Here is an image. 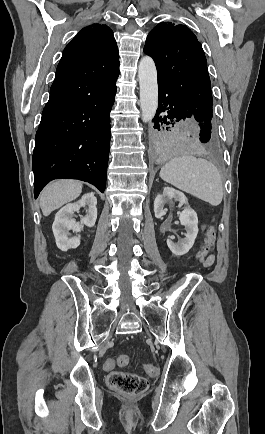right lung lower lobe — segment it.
I'll use <instances>...</instances> for the list:
<instances>
[{"label": "right lung lower lobe", "instance_id": "98d812e1", "mask_svg": "<svg viewBox=\"0 0 265 434\" xmlns=\"http://www.w3.org/2000/svg\"><path fill=\"white\" fill-rule=\"evenodd\" d=\"M118 75V53L62 55L36 133L35 198L57 178L83 180L104 192Z\"/></svg>", "mask_w": 265, "mask_h": 434}]
</instances>
